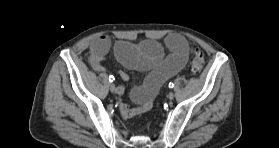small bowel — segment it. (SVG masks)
<instances>
[{"instance_id": "1", "label": "small bowel", "mask_w": 279, "mask_h": 148, "mask_svg": "<svg viewBox=\"0 0 279 148\" xmlns=\"http://www.w3.org/2000/svg\"><path fill=\"white\" fill-rule=\"evenodd\" d=\"M165 45L169 50V54L166 56L161 44L156 41L149 40L139 45L119 41L114 45L115 55L125 67L146 74L143 84L133 88L130 93L132 101L137 106L129 107L120 104V111L124 118L147 111L159 88L186 65L189 44L182 35L169 34L165 38ZM111 46L110 38L105 35L98 36L91 42L89 63L95 71H105L102 61ZM118 75L124 81L128 79L127 74L123 71H118Z\"/></svg>"}]
</instances>
